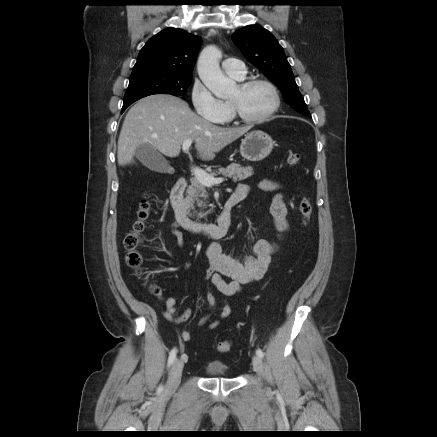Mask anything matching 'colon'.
<instances>
[{
	"mask_svg": "<svg viewBox=\"0 0 437 437\" xmlns=\"http://www.w3.org/2000/svg\"><path fill=\"white\" fill-rule=\"evenodd\" d=\"M300 161V154L297 151L290 150L287 154V163L290 166H296ZM151 206L148 200L143 199L137 211V218L132 225V229L124 238V247L127 250L126 263L132 268L136 275L141 273L143 264V254L140 248L143 245V234L147 228V221L150 216ZM299 212L302 216L304 224H307L312 215V204L308 197H303L299 203ZM151 292L157 294L158 287L151 286ZM231 348V343L227 340L221 341L217 349L220 352H228Z\"/></svg>",
	"mask_w": 437,
	"mask_h": 437,
	"instance_id": "5ec220e1",
	"label": "colon"
}]
</instances>
